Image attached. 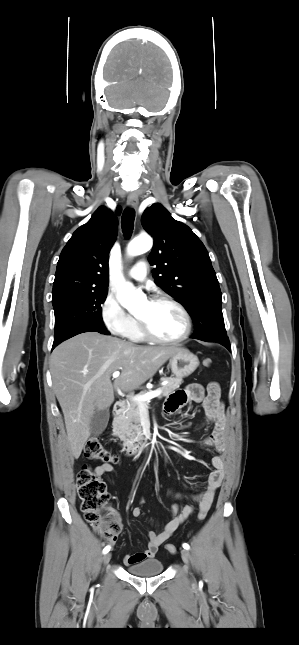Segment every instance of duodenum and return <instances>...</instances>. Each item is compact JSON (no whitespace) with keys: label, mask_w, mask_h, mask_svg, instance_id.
Here are the masks:
<instances>
[{"label":"duodenum","mask_w":299,"mask_h":645,"mask_svg":"<svg viewBox=\"0 0 299 645\" xmlns=\"http://www.w3.org/2000/svg\"><path fill=\"white\" fill-rule=\"evenodd\" d=\"M125 410V405L122 402H116L113 406L114 416H120ZM150 446V441L143 440L137 443H127L123 446V451L128 456H135L145 452Z\"/></svg>","instance_id":"duodenum-1"}]
</instances>
